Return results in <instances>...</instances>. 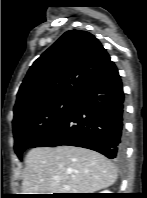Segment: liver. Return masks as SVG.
Here are the masks:
<instances>
[{
	"label": "liver",
	"instance_id": "liver-1",
	"mask_svg": "<svg viewBox=\"0 0 147 198\" xmlns=\"http://www.w3.org/2000/svg\"><path fill=\"white\" fill-rule=\"evenodd\" d=\"M25 164L23 194L94 193L117 179V168L109 159L75 146L33 148Z\"/></svg>",
	"mask_w": 147,
	"mask_h": 198
}]
</instances>
